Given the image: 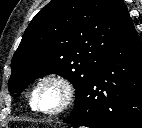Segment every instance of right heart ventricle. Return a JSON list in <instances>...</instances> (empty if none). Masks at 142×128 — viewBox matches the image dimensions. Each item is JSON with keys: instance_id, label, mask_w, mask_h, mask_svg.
I'll return each instance as SVG.
<instances>
[{"instance_id": "right-heart-ventricle-1", "label": "right heart ventricle", "mask_w": 142, "mask_h": 128, "mask_svg": "<svg viewBox=\"0 0 142 128\" xmlns=\"http://www.w3.org/2000/svg\"><path fill=\"white\" fill-rule=\"evenodd\" d=\"M36 86H37V85H35V86L31 89V91H30V93H29V95H28V105H29V107H30L32 110H35V108H34V94H35Z\"/></svg>"}]
</instances>
